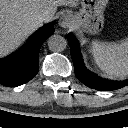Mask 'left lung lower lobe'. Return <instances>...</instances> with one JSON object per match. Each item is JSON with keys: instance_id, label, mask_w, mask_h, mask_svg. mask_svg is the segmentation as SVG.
<instances>
[{"instance_id": "obj_1", "label": "left lung lower lobe", "mask_w": 128, "mask_h": 128, "mask_svg": "<svg viewBox=\"0 0 128 128\" xmlns=\"http://www.w3.org/2000/svg\"><path fill=\"white\" fill-rule=\"evenodd\" d=\"M68 42L71 51V58L74 64L76 77L86 86L96 90H116L128 85V80L121 82L108 81L90 72L84 65L82 56L79 50V43L72 35H68Z\"/></svg>"}]
</instances>
